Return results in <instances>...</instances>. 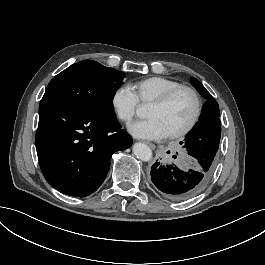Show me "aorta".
I'll return each mask as SVG.
<instances>
[{
	"instance_id": "762f6f07",
	"label": "aorta",
	"mask_w": 265,
	"mask_h": 265,
	"mask_svg": "<svg viewBox=\"0 0 265 265\" xmlns=\"http://www.w3.org/2000/svg\"><path fill=\"white\" fill-rule=\"evenodd\" d=\"M135 114L137 117L141 119L146 118V113L143 106H137ZM133 152L135 156L143 162H149L150 160H152L153 157L152 149L146 144L136 143L133 146Z\"/></svg>"
}]
</instances>
